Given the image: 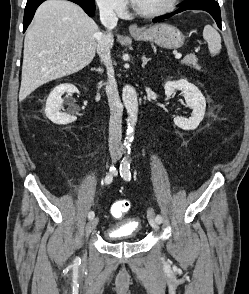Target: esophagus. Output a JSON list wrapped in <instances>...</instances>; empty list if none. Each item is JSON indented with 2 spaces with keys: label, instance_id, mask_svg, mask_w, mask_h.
<instances>
[{
  "label": "esophagus",
  "instance_id": "34e87169",
  "mask_svg": "<svg viewBox=\"0 0 249 294\" xmlns=\"http://www.w3.org/2000/svg\"><path fill=\"white\" fill-rule=\"evenodd\" d=\"M129 32L131 34H136V33H140L141 29L138 27L137 24H132V25L129 26Z\"/></svg>",
  "mask_w": 249,
  "mask_h": 294
}]
</instances>
